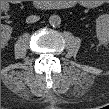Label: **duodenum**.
<instances>
[{"label": "duodenum", "instance_id": "duodenum-1", "mask_svg": "<svg viewBox=\"0 0 109 109\" xmlns=\"http://www.w3.org/2000/svg\"><path fill=\"white\" fill-rule=\"evenodd\" d=\"M33 5L36 9L43 10L53 6V3L49 1H34Z\"/></svg>", "mask_w": 109, "mask_h": 109}]
</instances>
